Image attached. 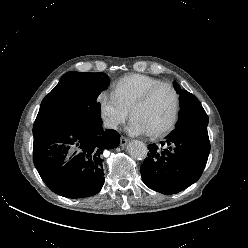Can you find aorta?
Wrapping results in <instances>:
<instances>
[{
  "mask_svg": "<svg viewBox=\"0 0 248 248\" xmlns=\"http://www.w3.org/2000/svg\"><path fill=\"white\" fill-rule=\"evenodd\" d=\"M128 152L132 158L143 160L147 156L148 149L142 141L134 140L128 145Z\"/></svg>",
  "mask_w": 248,
  "mask_h": 248,
  "instance_id": "762f6f07",
  "label": "aorta"
}]
</instances>
